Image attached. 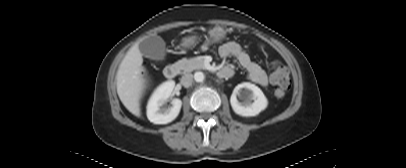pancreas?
<instances>
[{
	"label": "pancreas",
	"mask_w": 406,
	"mask_h": 168,
	"mask_svg": "<svg viewBox=\"0 0 406 168\" xmlns=\"http://www.w3.org/2000/svg\"><path fill=\"white\" fill-rule=\"evenodd\" d=\"M177 65L184 72H191L195 69H202L204 67V60L202 58L182 59L177 62Z\"/></svg>",
	"instance_id": "cf45deb5"
}]
</instances>
